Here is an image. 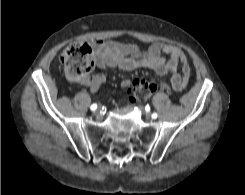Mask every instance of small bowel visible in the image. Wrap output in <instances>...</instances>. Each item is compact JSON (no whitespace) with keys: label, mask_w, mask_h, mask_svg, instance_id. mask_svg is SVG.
<instances>
[{"label":"small bowel","mask_w":245,"mask_h":195,"mask_svg":"<svg viewBox=\"0 0 245 195\" xmlns=\"http://www.w3.org/2000/svg\"><path fill=\"white\" fill-rule=\"evenodd\" d=\"M95 64L101 69L119 68L132 71L138 68H151L159 76L170 75L171 83L162 84V88L182 91L188 84L191 68L186 55L176 46L160 42L153 43L142 50L136 44L96 41L88 45ZM105 82L103 74H96L84 84L93 92ZM122 86H130L129 80H123Z\"/></svg>","instance_id":"c3829d8e"}]
</instances>
